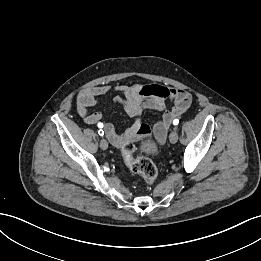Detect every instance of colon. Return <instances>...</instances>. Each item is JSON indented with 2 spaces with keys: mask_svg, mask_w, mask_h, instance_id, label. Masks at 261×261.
Segmentation results:
<instances>
[{
  "mask_svg": "<svg viewBox=\"0 0 261 261\" xmlns=\"http://www.w3.org/2000/svg\"><path fill=\"white\" fill-rule=\"evenodd\" d=\"M135 145L131 140H127L121 147V153L125 163L132 172L138 174L146 184L151 185L157 178V168L147 157L134 156Z\"/></svg>",
  "mask_w": 261,
  "mask_h": 261,
  "instance_id": "1",
  "label": "colon"
}]
</instances>
